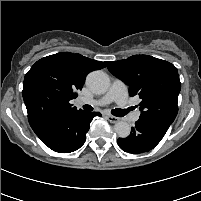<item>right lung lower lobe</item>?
Returning a JSON list of instances; mask_svg holds the SVG:
<instances>
[{
	"mask_svg": "<svg viewBox=\"0 0 201 201\" xmlns=\"http://www.w3.org/2000/svg\"><path fill=\"white\" fill-rule=\"evenodd\" d=\"M99 112L79 111L72 115L41 113L28 118L31 128L51 150L70 153L86 141L90 122Z\"/></svg>",
	"mask_w": 201,
	"mask_h": 201,
	"instance_id": "1",
	"label": "right lung lower lobe"
}]
</instances>
